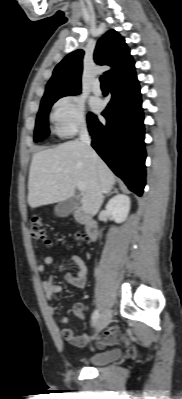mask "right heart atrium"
<instances>
[{"label": "right heart atrium", "mask_w": 182, "mask_h": 399, "mask_svg": "<svg viewBox=\"0 0 182 399\" xmlns=\"http://www.w3.org/2000/svg\"><path fill=\"white\" fill-rule=\"evenodd\" d=\"M53 132L59 137H69L86 126L84 100L76 94L58 99L51 112Z\"/></svg>", "instance_id": "right-heart-atrium-1"}]
</instances>
